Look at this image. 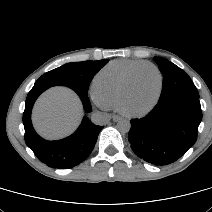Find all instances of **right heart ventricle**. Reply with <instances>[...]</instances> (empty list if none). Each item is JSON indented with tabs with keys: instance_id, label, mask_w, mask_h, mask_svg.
<instances>
[{
	"instance_id": "1",
	"label": "right heart ventricle",
	"mask_w": 212,
	"mask_h": 212,
	"mask_svg": "<svg viewBox=\"0 0 212 212\" xmlns=\"http://www.w3.org/2000/svg\"><path fill=\"white\" fill-rule=\"evenodd\" d=\"M147 62L134 60H115L104 66L94 78L95 89L110 106L117 104L121 88L130 72Z\"/></svg>"
}]
</instances>
